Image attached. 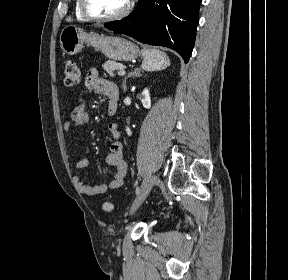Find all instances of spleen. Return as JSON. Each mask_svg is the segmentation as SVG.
Instances as JSON below:
<instances>
[{"instance_id":"1","label":"spleen","mask_w":288,"mask_h":280,"mask_svg":"<svg viewBox=\"0 0 288 280\" xmlns=\"http://www.w3.org/2000/svg\"><path fill=\"white\" fill-rule=\"evenodd\" d=\"M142 56V68L146 71H160L170 66L167 54L158 49H143Z\"/></svg>"}]
</instances>
